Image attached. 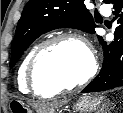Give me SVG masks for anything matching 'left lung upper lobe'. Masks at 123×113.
I'll use <instances>...</instances> for the list:
<instances>
[{
    "mask_svg": "<svg viewBox=\"0 0 123 113\" xmlns=\"http://www.w3.org/2000/svg\"><path fill=\"white\" fill-rule=\"evenodd\" d=\"M84 0H30L18 21L11 47L10 67L23 52L42 34L58 28H75L95 33L93 16L86 9ZM110 3L111 0H103ZM100 42L102 38L98 36Z\"/></svg>",
    "mask_w": 123,
    "mask_h": 113,
    "instance_id": "1",
    "label": "left lung upper lobe"
}]
</instances>
